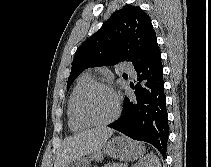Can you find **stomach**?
Segmentation results:
<instances>
[{"label":"stomach","instance_id":"1","mask_svg":"<svg viewBox=\"0 0 211 167\" xmlns=\"http://www.w3.org/2000/svg\"><path fill=\"white\" fill-rule=\"evenodd\" d=\"M144 152L145 147L142 143L118 136L107 141L102 151L94 152L87 157H78L62 167H89L90 161H100L104 154L120 161H133L141 157Z\"/></svg>","mask_w":211,"mask_h":167}]
</instances>
